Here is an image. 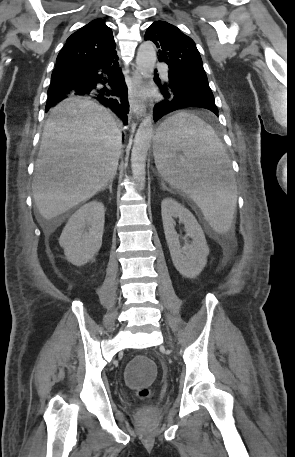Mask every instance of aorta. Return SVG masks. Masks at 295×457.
<instances>
[{"instance_id":"762f6f07","label":"aorta","mask_w":295,"mask_h":457,"mask_svg":"<svg viewBox=\"0 0 295 457\" xmlns=\"http://www.w3.org/2000/svg\"><path fill=\"white\" fill-rule=\"evenodd\" d=\"M156 63L155 46L151 41L143 42L137 53L136 67L139 72L147 77H152ZM153 115L147 114L142 120L135 138L131 152V168L133 178L138 184L139 190L145 186L146 157L153 137Z\"/></svg>"}]
</instances>
